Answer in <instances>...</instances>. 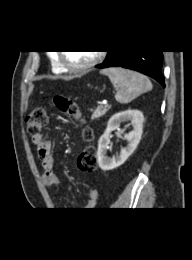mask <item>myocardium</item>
<instances>
[{
    "label": "myocardium",
    "instance_id": "myocardium-1",
    "mask_svg": "<svg viewBox=\"0 0 192 260\" xmlns=\"http://www.w3.org/2000/svg\"><path fill=\"white\" fill-rule=\"evenodd\" d=\"M58 59L63 68H65L66 70H68L70 72L79 73V72L87 71L90 68L97 65L102 59V54L101 53L96 54V56L91 61L87 62L86 64L79 65V66H74V65L69 64L66 61L65 54L63 52L59 53Z\"/></svg>",
    "mask_w": 192,
    "mask_h": 260
}]
</instances>
